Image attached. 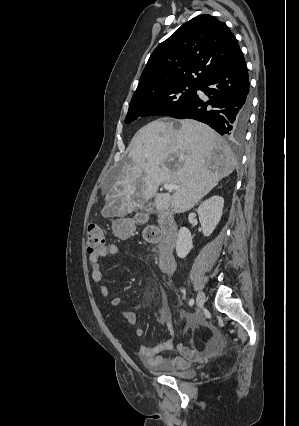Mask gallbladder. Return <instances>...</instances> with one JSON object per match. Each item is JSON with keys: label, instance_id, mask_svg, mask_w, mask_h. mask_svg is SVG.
Segmentation results:
<instances>
[{"label": "gallbladder", "instance_id": "1", "mask_svg": "<svg viewBox=\"0 0 299 426\" xmlns=\"http://www.w3.org/2000/svg\"><path fill=\"white\" fill-rule=\"evenodd\" d=\"M150 207H151V205H150V204H149V205H146V206L144 207V210H145V211H150V210H151V208H150Z\"/></svg>", "mask_w": 299, "mask_h": 426}]
</instances>
